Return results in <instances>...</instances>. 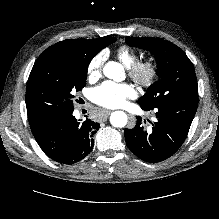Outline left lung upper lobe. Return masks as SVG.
Instances as JSON below:
<instances>
[{
	"mask_svg": "<svg viewBox=\"0 0 219 219\" xmlns=\"http://www.w3.org/2000/svg\"><path fill=\"white\" fill-rule=\"evenodd\" d=\"M126 41L134 47L150 51L158 64L160 80L150 85L138 100L140 106L156 108L184 99H198L194 66L179 47L158 38L126 37Z\"/></svg>",
	"mask_w": 219,
	"mask_h": 219,
	"instance_id": "5c2ea615",
	"label": "left lung upper lobe"
}]
</instances>
